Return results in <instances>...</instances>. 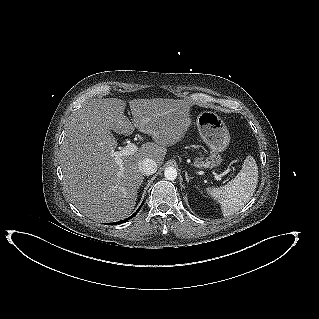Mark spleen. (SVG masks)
Masks as SVG:
<instances>
[{"label":"spleen","mask_w":319,"mask_h":319,"mask_svg":"<svg viewBox=\"0 0 319 319\" xmlns=\"http://www.w3.org/2000/svg\"><path fill=\"white\" fill-rule=\"evenodd\" d=\"M258 183V167L248 156L237 176L222 187H208L207 194L220 205L224 216L238 212L252 198Z\"/></svg>","instance_id":"obj_1"}]
</instances>
